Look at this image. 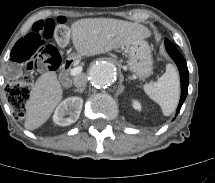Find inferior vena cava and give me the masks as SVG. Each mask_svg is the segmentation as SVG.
Wrapping results in <instances>:
<instances>
[{
  "mask_svg": "<svg viewBox=\"0 0 215 183\" xmlns=\"http://www.w3.org/2000/svg\"><path fill=\"white\" fill-rule=\"evenodd\" d=\"M87 83V76L85 74H79L74 78V85L78 88H82Z\"/></svg>",
  "mask_w": 215,
  "mask_h": 183,
  "instance_id": "1",
  "label": "inferior vena cava"
}]
</instances>
